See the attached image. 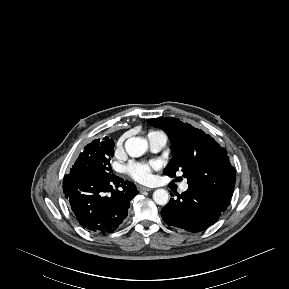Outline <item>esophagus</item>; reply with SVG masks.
Wrapping results in <instances>:
<instances>
[{
  "label": "esophagus",
  "instance_id": "34e87169",
  "mask_svg": "<svg viewBox=\"0 0 289 289\" xmlns=\"http://www.w3.org/2000/svg\"><path fill=\"white\" fill-rule=\"evenodd\" d=\"M139 191H151V188L145 187V186H138Z\"/></svg>",
  "mask_w": 289,
  "mask_h": 289
}]
</instances>
